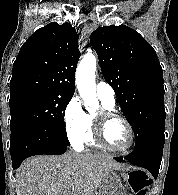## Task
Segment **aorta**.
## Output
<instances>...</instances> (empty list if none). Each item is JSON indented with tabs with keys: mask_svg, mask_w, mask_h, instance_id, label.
<instances>
[{
	"mask_svg": "<svg viewBox=\"0 0 178 195\" xmlns=\"http://www.w3.org/2000/svg\"><path fill=\"white\" fill-rule=\"evenodd\" d=\"M96 57L88 53L80 61L76 71V85L82 97L85 109L90 113L94 112L99 102L96 97Z\"/></svg>",
	"mask_w": 178,
	"mask_h": 195,
	"instance_id": "aorta-1",
	"label": "aorta"
}]
</instances>
